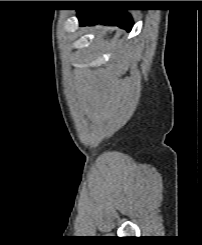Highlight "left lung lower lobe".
Here are the masks:
<instances>
[{
	"mask_svg": "<svg viewBox=\"0 0 202 245\" xmlns=\"http://www.w3.org/2000/svg\"><path fill=\"white\" fill-rule=\"evenodd\" d=\"M77 17L80 22V26L87 23L90 24H107L117 25L120 28L131 30L133 20L131 16L126 13V10L121 9H80L77 10Z\"/></svg>",
	"mask_w": 202,
	"mask_h": 245,
	"instance_id": "obj_1",
	"label": "left lung lower lobe"
}]
</instances>
